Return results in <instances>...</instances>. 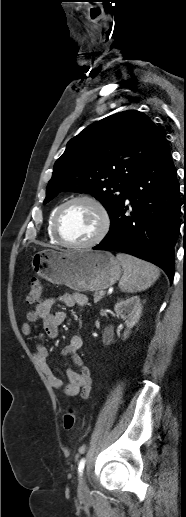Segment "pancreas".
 <instances>
[{
  "label": "pancreas",
  "mask_w": 186,
  "mask_h": 517,
  "mask_svg": "<svg viewBox=\"0 0 186 517\" xmlns=\"http://www.w3.org/2000/svg\"><path fill=\"white\" fill-rule=\"evenodd\" d=\"M94 302L97 303L103 298V295L100 294V291H95L93 294Z\"/></svg>",
  "instance_id": "1"
}]
</instances>
